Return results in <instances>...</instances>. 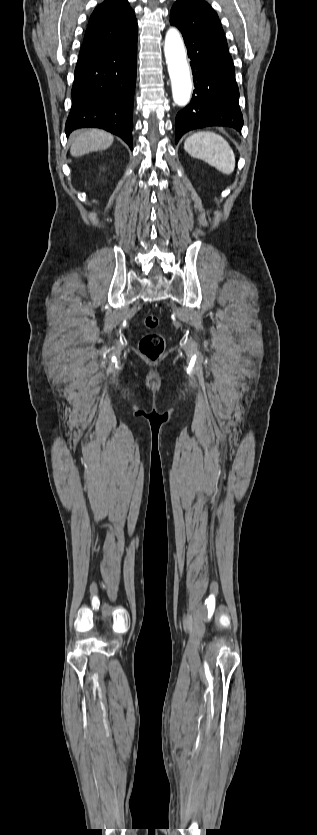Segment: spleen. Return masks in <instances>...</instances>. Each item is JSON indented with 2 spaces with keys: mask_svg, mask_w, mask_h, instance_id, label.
I'll return each mask as SVG.
<instances>
[{
  "mask_svg": "<svg viewBox=\"0 0 317 835\" xmlns=\"http://www.w3.org/2000/svg\"><path fill=\"white\" fill-rule=\"evenodd\" d=\"M185 151L201 159L225 175L235 169V155L228 142L219 134L199 131L189 136L184 142Z\"/></svg>",
  "mask_w": 317,
  "mask_h": 835,
  "instance_id": "1",
  "label": "spleen"
}]
</instances>
